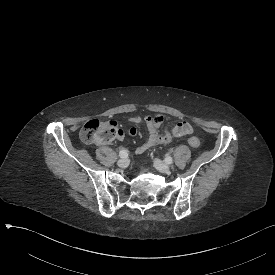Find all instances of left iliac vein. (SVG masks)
<instances>
[{
    "mask_svg": "<svg viewBox=\"0 0 275 275\" xmlns=\"http://www.w3.org/2000/svg\"><path fill=\"white\" fill-rule=\"evenodd\" d=\"M153 162H154V165L158 171H160L162 173H167V174L170 172L169 165H167L162 160L155 158Z\"/></svg>",
    "mask_w": 275,
    "mask_h": 275,
    "instance_id": "4c4485c4",
    "label": "left iliac vein"
}]
</instances>
